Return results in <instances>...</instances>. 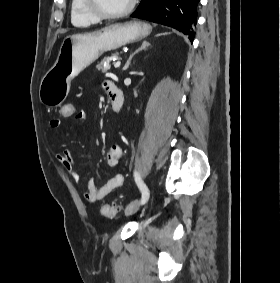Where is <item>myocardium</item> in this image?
I'll use <instances>...</instances> for the list:
<instances>
[{"mask_svg":"<svg viewBox=\"0 0 280 283\" xmlns=\"http://www.w3.org/2000/svg\"><path fill=\"white\" fill-rule=\"evenodd\" d=\"M84 5L86 10L92 14L93 16H95L96 18H98L99 20H117V19H121L123 17H126L127 15H129L135 5H136V0H130V3L128 5V7L126 9H124L121 12L118 13H114V14H109L104 12L97 4L96 0H84Z\"/></svg>","mask_w":280,"mask_h":283,"instance_id":"f54148a6","label":"myocardium"}]
</instances>
